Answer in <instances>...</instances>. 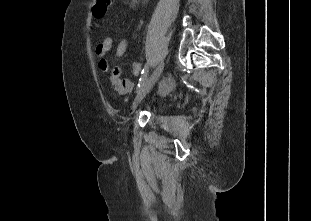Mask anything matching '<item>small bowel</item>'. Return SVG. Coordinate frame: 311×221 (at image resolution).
Returning <instances> with one entry per match:
<instances>
[{
  "instance_id": "1",
  "label": "small bowel",
  "mask_w": 311,
  "mask_h": 221,
  "mask_svg": "<svg viewBox=\"0 0 311 221\" xmlns=\"http://www.w3.org/2000/svg\"><path fill=\"white\" fill-rule=\"evenodd\" d=\"M131 4L135 6L138 3V0H130ZM97 46H112L113 47V40L110 36H105L101 40L100 43H98ZM128 47V42L126 39H121L116 47L115 50V57L121 58ZM99 56V62L98 66L99 69L103 72H110V64L108 59L106 58L107 53H96ZM112 72V71H111ZM132 72L134 75H138L140 73V64L137 61L132 62ZM134 88V83L130 80H128L127 85L125 87L118 88L117 90L121 94H128L130 93Z\"/></svg>"
}]
</instances>
